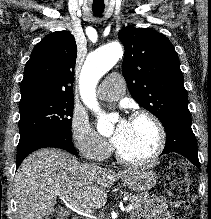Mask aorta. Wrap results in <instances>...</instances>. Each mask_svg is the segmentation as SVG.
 <instances>
[{
	"label": "aorta",
	"mask_w": 211,
	"mask_h": 219,
	"mask_svg": "<svg viewBox=\"0 0 211 219\" xmlns=\"http://www.w3.org/2000/svg\"><path fill=\"white\" fill-rule=\"evenodd\" d=\"M123 55L119 43L113 42L99 47L89 54L80 75V90L86 104L94 111H99L95 101V88L99 79L108 72ZM100 112V111H99ZM113 118L100 113L97 130L103 136L113 133Z\"/></svg>",
	"instance_id": "obj_1"
}]
</instances>
